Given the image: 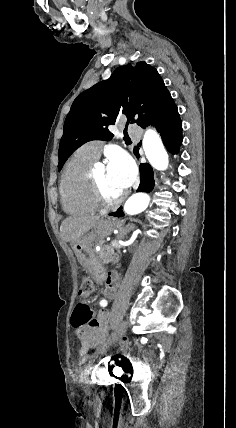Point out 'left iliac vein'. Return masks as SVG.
<instances>
[{
	"mask_svg": "<svg viewBox=\"0 0 236 428\" xmlns=\"http://www.w3.org/2000/svg\"><path fill=\"white\" fill-rule=\"evenodd\" d=\"M121 329L119 328V329H116L115 330V332H113V335H111L109 338L111 339V340H116L117 339V337H118V334L121 332H126L127 330H126V324H121ZM89 365H86L85 366V371L86 372H91L92 371V364H95L96 363V358L95 357H90L89 358Z\"/></svg>",
	"mask_w": 236,
	"mask_h": 428,
	"instance_id": "4c4485c4",
	"label": "left iliac vein"
}]
</instances>
